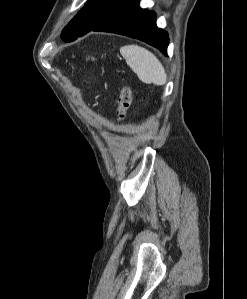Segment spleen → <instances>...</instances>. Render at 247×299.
<instances>
[{
	"label": "spleen",
	"mask_w": 247,
	"mask_h": 299,
	"mask_svg": "<svg viewBox=\"0 0 247 299\" xmlns=\"http://www.w3.org/2000/svg\"><path fill=\"white\" fill-rule=\"evenodd\" d=\"M120 53L143 83H166L167 75L163 65L149 50L138 45H125L120 48Z\"/></svg>",
	"instance_id": "spleen-1"
}]
</instances>
